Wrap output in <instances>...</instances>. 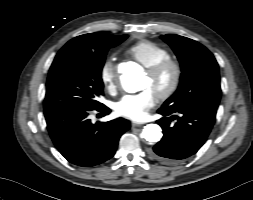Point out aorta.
<instances>
[{
  "label": "aorta",
  "mask_w": 253,
  "mask_h": 200,
  "mask_svg": "<svg viewBox=\"0 0 253 200\" xmlns=\"http://www.w3.org/2000/svg\"><path fill=\"white\" fill-rule=\"evenodd\" d=\"M123 89L128 93H135L143 89L141 74L137 70L128 69L120 78ZM161 127L157 124H148L144 127L142 137L150 142L156 143L162 137Z\"/></svg>",
  "instance_id": "aorta-1"
}]
</instances>
